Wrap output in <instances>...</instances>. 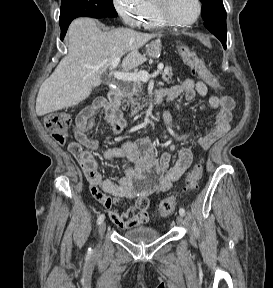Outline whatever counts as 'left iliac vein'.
<instances>
[{
  "mask_svg": "<svg viewBox=\"0 0 273 288\" xmlns=\"http://www.w3.org/2000/svg\"><path fill=\"white\" fill-rule=\"evenodd\" d=\"M184 219L182 215H178L176 218V222L178 225H181L183 223Z\"/></svg>",
  "mask_w": 273,
  "mask_h": 288,
  "instance_id": "4c4485c4",
  "label": "left iliac vein"
}]
</instances>
